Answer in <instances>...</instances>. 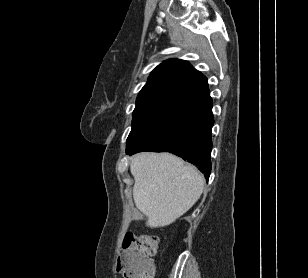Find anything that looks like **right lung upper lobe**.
<instances>
[{
  "instance_id": "1",
  "label": "right lung upper lobe",
  "mask_w": 308,
  "mask_h": 278,
  "mask_svg": "<svg viewBox=\"0 0 308 278\" xmlns=\"http://www.w3.org/2000/svg\"><path fill=\"white\" fill-rule=\"evenodd\" d=\"M210 96L207 78L188 62L170 59L150 74L136 99L133 116L180 115Z\"/></svg>"
}]
</instances>
